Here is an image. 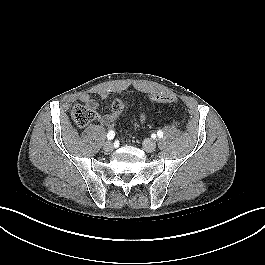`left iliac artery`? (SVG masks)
I'll use <instances>...</instances> for the list:
<instances>
[{
	"instance_id": "44dca946",
	"label": "left iliac artery",
	"mask_w": 265,
	"mask_h": 265,
	"mask_svg": "<svg viewBox=\"0 0 265 265\" xmlns=\"http://www.w3.org/2000/svg\"><path fill=\"white\" fill-rule=\"evenodd\" d=\"M157 135H158L159 138H161V137H163V132H162L161 130H159V131L157 132Z\"/></svg>"
}]
</instances>
